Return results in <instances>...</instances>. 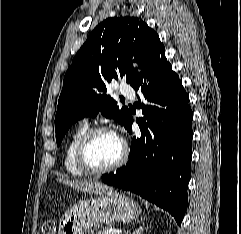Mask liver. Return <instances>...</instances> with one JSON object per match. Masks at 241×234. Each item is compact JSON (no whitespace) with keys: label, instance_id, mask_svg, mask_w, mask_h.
<instances>
[{"label":"liver","instance_id":"1","mask_svg":"<svg viewBox=\"0 0 241 234\" xmlns=\"http://www.w3.org/2000/svg\"><path fill=\"white\" fill-rule=\"evenodd\" d=\"M57 180L76 191L89 194L101 195L110 190L107 185L96 180H70L68 178H58Z\"/></svg>","mask_w":241,"mask_h":234}]
</instances>
